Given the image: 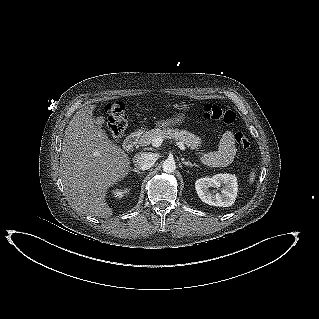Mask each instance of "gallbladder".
Returning a JSON list of instances; mask_svg holds the SVG:
<instances>
[{"label":"gallbladder","mask_w":319,"mask_h":319,"mask_svg":"<svg viewBox=\"0 0 319 319\" xmlns=\"http://www.w3.org/2000/svg\"><path fill=\"white\" fill-rule=\"evenodd\" d=\"M95 123L97 124V125H103L104 123H105V120H104V118L103 117H97L96 119H95Z\"/></svg>","instance_id":"obj_1"}]
</instances>
